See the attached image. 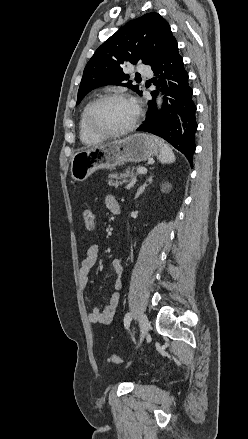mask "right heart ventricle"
Returning a JSON list of instances; mask_svg holds the SVG:
<instances>
[{"label": "right heart ventricle", "mask_w": 248, "mask_h": 439, "mask_svg": "<svg viewBox=\"0 0 248 439\" xmlns=\"http://www.w3.org/2000/svg\"><path fill=\"white\" fill-rule=\"evenodd\" d=\"M91 103L92 102L87 103L82 109L78 125L80 140L84 145L87 146H92L105 140V137L92 133L87 126L86 113Z\"/></svg>", "instance_id": "1"}]
</instances>
